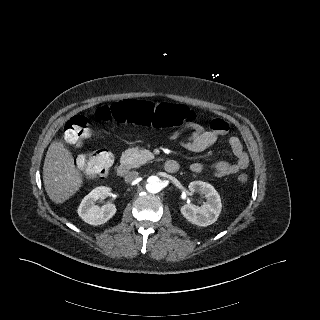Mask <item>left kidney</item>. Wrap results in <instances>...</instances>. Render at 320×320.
<instances>
[{"instance_id": "5707ae66", "label": "left kidney", "mask_w": 320, "mask_h": 320, "mask_svg": "<svg viewBox=\"0 0 320 320\" xmlns=\"http://www.w3.org/2000/svg\"><path fill=\"white\" fill-rule=\"evenodd\" d=\"M192 193H199L206 198L201 206L186 204L180 211L184 218L197 226L205 227L217 221L221 209V198L215 188L203 181H193L188 186Z\"/></svg>"}]
</instances>
